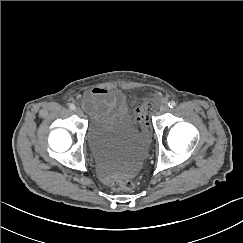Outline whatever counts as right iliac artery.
I'll use <instances>...</instances> for the list:
<instances>
[{
    "label": "right iliac artery",
    "mask_w": 243,
    "mask_h": 243,
    "mask_svg": "<svg viewBox=\"0 0 243 243\" xmlns=\"http://www.w3.org/2000/svg\"><path fill=\"white\" fill-rule=\"evenodd\" d=\"M69 108H70L71 110H75V109H76V106H75L74 104H70V105H69Z\"/></svg>",
    "instance_id": "right-iliac-artery-1"
}]
</instances>
